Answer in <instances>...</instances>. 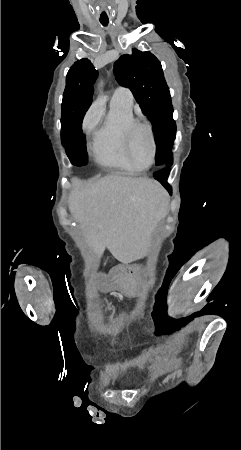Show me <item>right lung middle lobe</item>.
<instances>
[{
	"label": "right lung middle lobe",
	"mask_w": 241,
	"mask_h": 450,
	"mask_svg": "<svg viewBox=\"0 0 241 450\" xmlns=\"http://www.w3.org/2000/svg\"><path fill=\"white\" fill-rule=\"evenodd\" d=\"M96 78V74H81L66 80L61 114L62 141H66V136L75 119L84 114L91 105L94 91L93 84ZM68 157L71 163L76 166H82L88 162L86 151L79 154H70Z\"/></svg>",
	"instance_id": "obj_1"
}]
</instances>
